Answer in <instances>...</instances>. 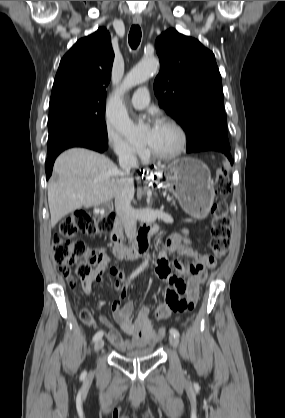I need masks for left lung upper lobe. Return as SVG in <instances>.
Returning a JSON list of instances; mask_svg holds the SVG:
<instances>
[{"mask_svg": "<svg viewBox=\"0 0 285 418\" xmlns=\"http://www.w3.org/2000/svg\"><path fill=\"white\" fill-rule=\"evenodd\" d=\"M155 47L160 72L154 92L160 107L186 131L187 152L203 146L230 149L222 80L213 52L175 29L163 32Z\"/></svg>", "mask_w": 285, "mask_h": 418, "instance_id": "1", "label": "left lung upper lobe"}]
</instances>
